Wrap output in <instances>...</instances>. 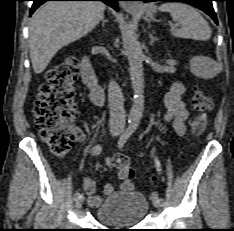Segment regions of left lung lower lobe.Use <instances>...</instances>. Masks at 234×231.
<instances>
[{
  "mask_svg": "<svg viewBox=\"0 0 234 231\" xmlns=\"http://www.w3.org/2000/svg\"><path fill=\"white\" fill-rule=\"evenodd\" d=\"M140 1H144V2H152V1H179V2H185V3H188V4L192 5V6H194V7L199 8L200 10L207 13L209 16H211V18L214 20V22L216 24H218L216 14H215V12L213 10V7H212V1L213 0H140Z\"/></svg>",
  "mask_w": 234,
  "mask_h": 231,
  "instance_id": "obj_1",
  "label": "left lung lower lobe"
}]
</instances>
